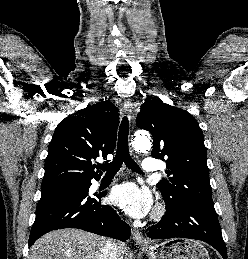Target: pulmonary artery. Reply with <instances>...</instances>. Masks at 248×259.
<instances>
[{
	"label": "pulmonary artery",
	"instance_id": "pulmonary-artery-1",
	"mask_svg": "<svg viewBox=\"0 0 248 259\" xmlns=\"http://www.w3.org/2000/svg\"><path fill=\"white\" fill-rule=\"evenodd\" d=\"M159 169L157 161L154 158H145L142 162V171L145 173H154Z\"/></svg>",
	"mask_w": 248,
	"mask_h": 259
}]
</instances>
